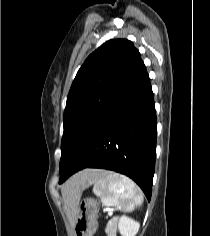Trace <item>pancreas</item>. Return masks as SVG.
Listing matches in <instances>:
<instances>
[{
  "mask_svg": "<svg viewBox=\"0 0 210 236\" xmlns=\"http://www.w3.org/2000/svg\"><path fill=\"white\" fill-rule=\"evenodd\" d=\"M106 233H108V234L110 233V227L109 226L106 228Z\"/></svg>",
  "mask_w": 210,
  "mask_h": 236,
  "instance_id": "obj_1",
  "label": "pancreas"
}]
</instances>
